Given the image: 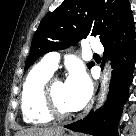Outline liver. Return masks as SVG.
I'll return each mask as SVG.
<instances>
[{
  "label": "liver",
  "instance_id": "obj_1",
  "mask_svg": "<svg viewBox=\"0 0 136 136\" xmlns=\"http://www.w3.org/2000/svg\"><path fill=\"white\" fill-rule=\"evenodd\" d=\"M64 130L60 127L54 128H29L23 131H19L15 136H55Z\"/></svg>",
  "mask_w": 136,
  "mask_h": 136
}]
</instances>
